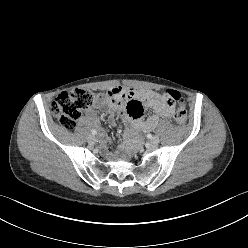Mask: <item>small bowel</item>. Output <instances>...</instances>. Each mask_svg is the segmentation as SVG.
Returning <instances> with one entry per match:
<instances>
[{"mask_svg": "<svg viewBox=\"0 0 248 248\" xmlns=\"http://www.w3.org/2000/svg\"><path fill=\"white\" fill-rule=\"evenodd\" d=\"M95 107L118 111L125 122L141 131L153 129L161 119L168 118L172 114V106L164 94L152 90L122 87H113L107 94L100 95ZM144 108L153 110V114L146 119L142 118ZM110 122H115L112 116Z\"/></svg>", "mask_w": 248, "mask_h": 248, "instance_id": "obj_1", "label": "small bowel"}]
</instances>
